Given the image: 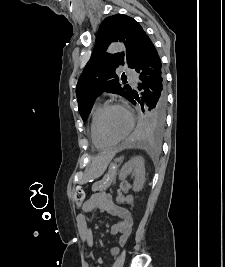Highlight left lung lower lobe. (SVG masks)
Returning <instances> with one entry per match:
<instances>
[{"instance_id":"0a47b994","label":"left lung lower lobe","mask_w":225,"mask_h":267,"mask_svg":"<svg viewBox=\"0 0 225 267\" xmlns=\"http://www.w3.org/2000/svg\"><path fill=\"white\" fill-rule=\"evenodd\" d=\"M134 70L139 75L138 89L141 93L139 96L136 91H132L129 101L134 105L140 103L143 109L145 106L148 110H152L155 116H164L165 77L158 52L147 35L143 38Z\"/></svg>"}]
</instances>
